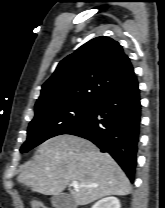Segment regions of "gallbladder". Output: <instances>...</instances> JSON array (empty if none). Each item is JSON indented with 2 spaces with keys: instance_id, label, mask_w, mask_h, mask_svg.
Returning a JSON list of instances; mask_svg holds the SVG:
<instances>
[{
  "instance_id": "bac80fb5",
  "label": "gallbladder",
  "mask_w": 165,
  "mask_h": 208,
  "mask_svg": "<svg viewBox=\"0 0 165 208\" xmlns=\"http://www.w3.org/2000/svg\"><path fill=\"white\" fill-rule=\"evenodd\" d=\"M51 204L55 208H76L73 198L67 193H61L51 197Z\"/></svg>"
}]
</instances>
